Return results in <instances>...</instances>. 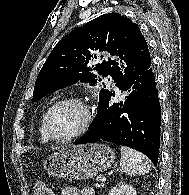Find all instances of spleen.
I'll use <instances>...</instances> for the list:
<instances>
[{"mask_svg": "<svg viewBox=\"0 0 189 195\" xmlns=\"http://www.w3.org/2000/svg\"><path fill=\"white\" fill-rule=\"evenodd\" d=\"M120 168L127 175H143L150 170V164L146 156L131 148L121 147Z\"/></svg>", "mask_w": 189, "mask_h": 195, "instance_id": "spleen-1", "label": "spleen"}]
</instances>
